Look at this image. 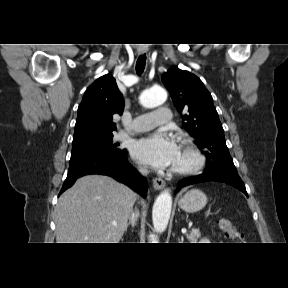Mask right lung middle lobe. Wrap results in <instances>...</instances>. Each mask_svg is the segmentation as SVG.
<instances>
[{
    "label": "right lung middle lobe",
    "instance_id": "obj_1",
    "mask_svg": "<svg viewBox=\"0 0 288 288\" xmlns=\"http://www.w3.org/2000/svg\"><path fill=\"white\" fill-rule=\"evenodd\" d=\"M112 138L113 135H110L96 140L73 145L70 163L96 155L119 156L123 154L125 149L117 148V145L112 143Z\"/></svg>",
    "mask_w": 288,
    "mask_h": 288
}]
</instances>
